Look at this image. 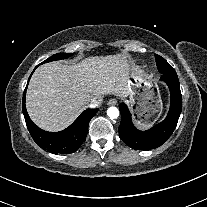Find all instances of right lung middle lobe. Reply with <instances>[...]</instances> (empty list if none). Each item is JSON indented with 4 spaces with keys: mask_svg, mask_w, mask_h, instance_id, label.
<instances>
[{
    "mask_svg": "<svg viewBox=\"0 0 207 207\" xmlns=\"http://www.w3.org/2000/svg\"><path fill=\"white\" fill-rule=\"evenodd\" d=\"M71 55H72V53H58V54H55V55L51 56L50 58L46 59L41 64L47 63L50 61H54V60L65 59V58L70 57Z\"/></svg>",
    "mask_w": 207,
    "mask_h": 207,
    "instance_id": "obj_1",
    "label": "right lung middle lobe"
}]
</instances>
